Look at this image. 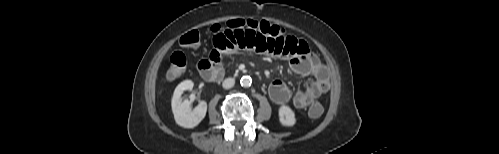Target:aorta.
Masks as SVG:
<instances>
[{
  "label": "aorta",
  "mask_w": 499,
  "mask_h": 154,
  "mask_svg": "<svg viewBox=\"0 0 499 154\" xmlns=\"http://www.w3.org/2000/svg\"><path fill=\"white\" fill-rule=\"evenodd\" d=\"M240 84L242 87H249L251 86L252 84V79L250 76H243L241 79H240Z\"/></svg>",
  "instance_id": "762f6f07"
}]
</instances>
